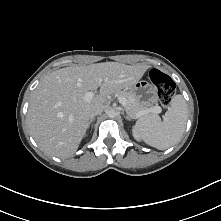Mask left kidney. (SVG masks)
Here are the masks:
<instances>
[{"label":"left kidney","instance_id":"5707ae66","mask_svg":"<svg viewBox=\"0 0 221 221\" xmlns=\"http://www.w3.org/2000/svg\"><path fill=\"white\" fill-rule=\"evenodd\" d=\"M133 136H134V138L135 139H137V140H139V135H138V133H137V130L135 129V128H133Z\"/></svg>","mask_w":221,"mask_h":221}]
</instances>
